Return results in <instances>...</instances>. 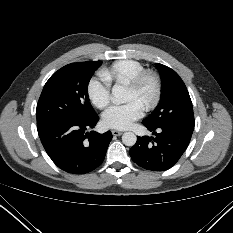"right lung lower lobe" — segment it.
<instances>
[{
	"label": "right lung lower lobe",
	"mask_w": 233,
	"mask_h": 233,
	"mask_svg": "<svg viewBox=\"0 0 233 233\" xmlns=\"http://www.w3.org/2000/svg\"><path fill=\"white\" fill-rule=\"evenodd\" d=\"M98 119L95 114L85 120L49 121L37 126L47 154L60 169L72 174H85L103 162L112 133L85 132L94 128Z\"/></svg>",
	"instance_id": "98d812e1"
}]
</instances>
